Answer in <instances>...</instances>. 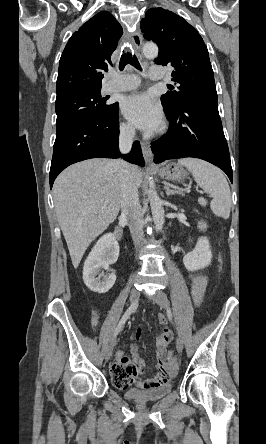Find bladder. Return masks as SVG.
Wrapping results in <instances>:
<instances>
[{
  "label": "bladder",
  "mask_w": 266,
  "mask_h": 444,
  "mask_svg": "<svg viewBox=\"0 0 266 444\" xmlns=\"http://www.w3.org/2000/svg\"><path fill=\"white\" fill-rule=\"evenodd\" d=\"M172 391V384L167 383L162 386L139 390L135 388H129L124 391V396L130 400L147 402V401H157L165 397Z\"/></svg>",
  "instance_id": "bladder-1"
}]
</instances>
